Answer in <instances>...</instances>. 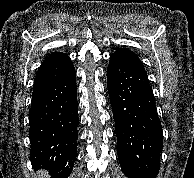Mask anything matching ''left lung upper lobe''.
Listing matches in <instances>:
<instances>
[{
	"instance_id": "5c2ea615",
	"label": "left lung upper lobe",
	"mask_w": 194,
	"mask_h": 178,
	"mask_svg": "<svg viewBox=\"0 0 194 178\" xmlns=\"http://www.w3.org/2000/svg\"><path fill=\"white\" fill-rule=\"evenodd\" d=\"M111 56L118 57L130 64H133L143 70H145L143 63L138 58V56L131 50L126 48H120L115 51Z\"/></svg>"
}]
</instances>
